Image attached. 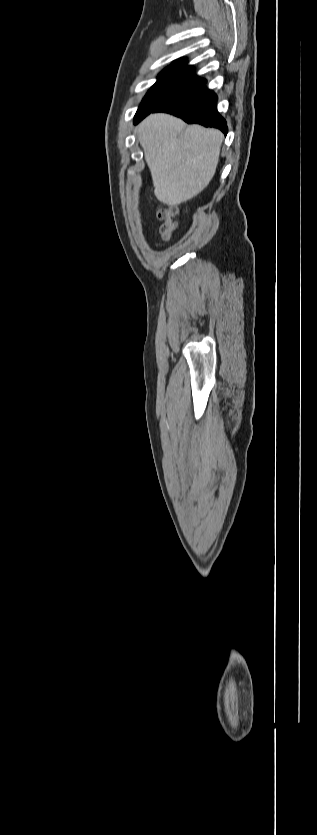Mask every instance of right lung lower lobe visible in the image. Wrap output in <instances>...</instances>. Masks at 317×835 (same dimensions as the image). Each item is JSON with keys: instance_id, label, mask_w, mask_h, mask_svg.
<instances>
[{"instance_id": "98d812e1", "label": "right lung lower lobe", "mask_w": 317, "mask_h": 835, "mask_svg": "<svg viewBox=\"0 0 317 835\" xmlns=\"http://www.w3.org/2000/svg\"><path fill=\"white\" fill-rule=\"evenodd\" d=\"M152 112H167L182 118L187 123H197L205 127H214L220 129L225 135L228 132L226 121L217 111L216 94L204 85L153 109L142 116L140 121Z\"/></svg>"}]
</instances>
